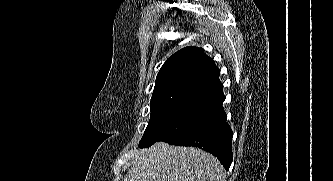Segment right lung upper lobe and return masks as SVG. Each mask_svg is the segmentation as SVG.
Segmentation results:
<instances>
[{"mask_svg":"<svg viewBox=\"0 0 333 181\" xmlns=\"http://www.w3.org/2000/svg\"><path fill=\"white\" fill-rule=\"evenodd\" d=\"M220 70L202 48L185 47L163 64L156 78L151 109L170 106L210 110L225 100Z\"/></svg>","mask_w":333,"mask_h":181,"instance_id":"right-lung-upper-lobe-1","label":"right lung upper lobe"}]
</instances>
